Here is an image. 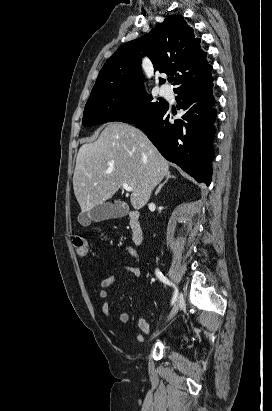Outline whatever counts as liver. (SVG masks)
Here are the masks:
<instances>
[{"instance_id": "liver-1", "label": "liver", "mask_w": 272, "mask_h": 411, "mask_svg": "<svg viewBox=\"0 0 272 411\" xmlns=\"http://www.w3.org/2000/svg\"><path fill=\"white\" fill-rule=\"evenodd\" d=\"M169 172L167 160L137 128L110 123L77 154L73 189L82 213L112 198L124 183L133 188L131 204L143 208Z\"/></svg>"}]
</instances>
